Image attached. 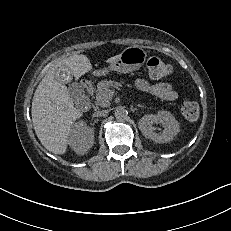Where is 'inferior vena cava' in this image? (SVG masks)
<instances>
[{"instance_id": "1", "label": "inferior vena cava", "mask_w": 231, "mask_h": 231, "mask_svg": "<svg viewBox=\"0 0 231 231\" xmlns=\"http://www.w3.org/2000/svg\"><path fill=\"white\" fill-rule=\"evenodd\" d=\"M107 113H108L107 110H101V111L95 112L93 115H94L95 117H99V116H104V115H106Z\"/></svg>"}]
</instances>
